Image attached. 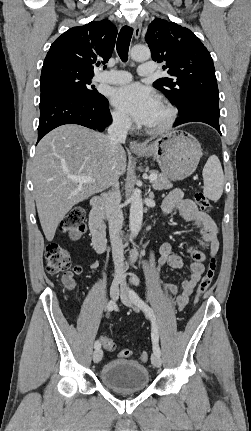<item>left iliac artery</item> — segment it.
Wrapping results in <instances>:
<instances>
[{"instance_id": "1", "label": "left iliac artery", "mask_w": 251, "mask_h": 431, "mask_svg": "<svg viewBox=\"0 0 251 431\" xmlns=\"http://www.w3.org/2000/svg\"><path fill=\"white\" fill-rule=\"evenodd\" d=\"M131 295H132V299H133L134 304L136 306H138L151 320V323H152L151 337H152V343H153V352L160 356L161 350H160V347L158 345L159 334H158V327H157L156 317H155L154 311L152 310V308L148 304H146L138 296L137 293H135L134 291H131Z\"/></svg>"}]
</instances>
